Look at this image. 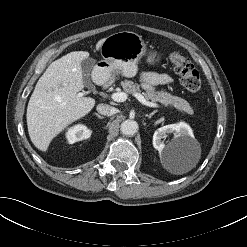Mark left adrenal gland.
<instances>
[{
  "instance_id": "1",
  "label": "left adrenal gland",
  "mask_w": 247,
  "mask_h": 247,
  "mask_svg": "<svg viewBox=\"0 0 247 247\" xmlns=\"http://www.w3.org/2000/svg\"><path fill=\"white\" fill-rule=\"evenodd\" d=\"M155 113H157V110H155L152 113H150L149 115H147V117L150 119Z\"/></svg>"
}]
</instances>
